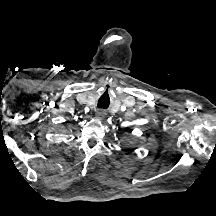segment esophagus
<instances>
[{
	"label": "esophagus",
	"mask_w": 216,
	"mask_h": 216,
	"mask_svg": "<svg viewBox=\"0 0 216 216\" xmlns=\"http://www.w3.org/2000/svg\"><path fill=\"white\" fill-rule=\"evenodd\" d=\"M105 116V112L103 110H98L96 113V118L102 119Z\"/></svg>",
	"instance_id": "1"
}]
</instances>
